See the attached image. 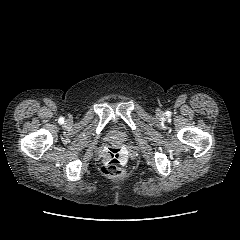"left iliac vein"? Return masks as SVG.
Returning a JSON list of instances; mask_svg holds the SVG:
<instances>
[{
    "mask_svg": "<svg viewBox=\"0 0 240 240\" xmlns=\"http://www.w3.org/2000/svg\"><path fill=\"white\" fill-rule=\"evenodd\" d=\"M157 115H158V116H163L164 113H163L162 111H158V112H157Z\"/></svg>",
    "mask_w": 240,
    "mask_h": 240,
    "instance_id": "1",
    "label": "left iliac vein"
}]
</instances>
